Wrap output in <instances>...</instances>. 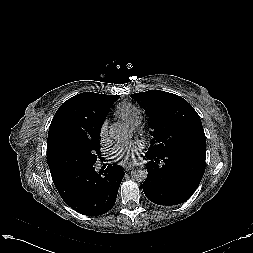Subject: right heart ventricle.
<instances>
[{"instance_id": "obj_1", "label": "right heart ventricle", "mask_w": 253, "mask_h": 253, "mask_svg": "<svg viewBox=\"0 0 253 253\" xmlns=\"http://www.w3.org/2000/svg\"><path fill=\"white\" fill-rule=\"evenodd\" d=\"M116 114L132 127L138 126L142 121L141 110L129 102L121 103L117 107Z\"/></svg>"}]
</instances>
